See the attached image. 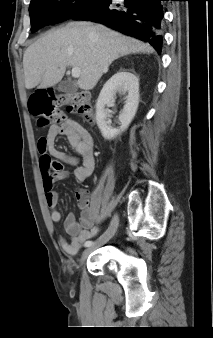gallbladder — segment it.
I'll return each mask as SVG.
<instances>
[{
    "instance_id": "obj_1",
    "label": "gallbladder",
    "mask_w": 213,
    "mask_h": 338,
    "mask_svg": "<svg viewBox=\"0 0 213 338\" xmlns=\"http://www.w3.org/2000/svg\"><path fill=\"white\" fill-rule=\"evenodd\" d=\"M57 89L61 92L70 93V92L76 91L77 87H76V85H74V84H72L68 81H62V82L59 83Z\"/></svg>"
}]
</instances>
